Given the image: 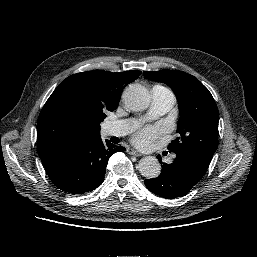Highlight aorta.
<instances>
[{
	"mask_svg": "<svg viewBox=\"0 0 257 257\" xmlns=\"http://www.w3.org/2000/svg\"><path fill=\"white\" fill-rule=\"evenodd\" d=\"M123 101L127 108L133 111L146 109L150 104L149 91L140 84H131L123 92ZM141 175L145 178H155L161 172V166L157 158L146 156L138 164Z\"/></svg>",
	"mask_w": 257,
	"mask_h": 257,
	"instance_id": "obj_1",
	"label": "aorta"
}]
</instances>
